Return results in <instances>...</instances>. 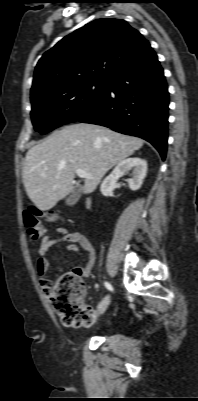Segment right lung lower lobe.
<instances>
[{
    "mask_svg": "<svg viewBox=\"0 0 198 401\" xmlns=\"http://www.w3.org/2000/svg\"><path fill=\"white\" fill-rule=\"evenodd\" d=\"M169 96L163 69L150 47L108 80L101 99L76 121L111 128L150 142L165 159Z\"/></svg>",
    "mask_w": 198,
    "mask_h": 401,
    "instance_id": "1",
    "label": "right lung lower lobe"
}]
</instances>
